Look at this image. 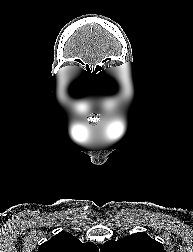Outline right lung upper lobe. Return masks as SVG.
<instances>
[{
	"instance_id": "cb5924a9",
	"label": "right lung upper lobe",
	"mask_w": 193,
	"mask_h": 252,
	"mask_svg": "<svg viewBox=\"0 0 193 252\" xmlns=\"http://www.w3.org/2000/svg\"><path fill=\"white\" fill-rule=\"evenodd\" d=\"M37 252H99V249L94 243H81L63 231L40 245Z\"/></svg>"
}]
</instances>
